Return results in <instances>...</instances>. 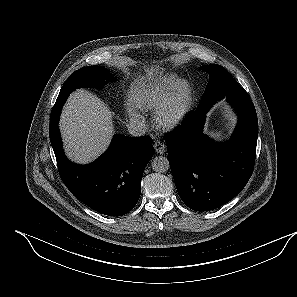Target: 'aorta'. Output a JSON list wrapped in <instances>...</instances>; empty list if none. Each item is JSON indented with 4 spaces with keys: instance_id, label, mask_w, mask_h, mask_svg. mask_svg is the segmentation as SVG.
I'll return each mask as SVG.
<instances>
[{
    "instance_id": "obj_1",
    "label": "aorta",
    "mask_w": 297,
    "mask_h": 297,
    "mask_svg": "<svg viewBox=\"0 0 297 297\" xmlns=\"http://www.w3.org/2000/svg\"><path fill=\"white\" fill-rule=\"evenodd\" d=\"M151 165L152 169L159 173L166 172L170 168L168 159L163 156L155 157L152 160Z\"/></svg>"
}]
</instances>
